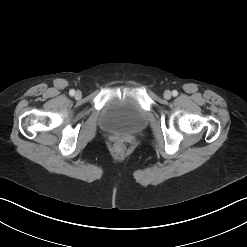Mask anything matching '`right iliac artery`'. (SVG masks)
<instances>
[{"label":"right iliac artery","mask_w":247,"mask_h":247,"mask_svg":"<svg viewBox=\"0 0 247 247\" xmlns=\"http://www.w3.org/2000/svg\"><path fill=\"white\" fill-rule=\"evenodd\" d=\"M69 94H70L71 96H73V95L75 94V91H74L73 89H71V90L69 91Z\"/></svg>","instance_id":"82829eb1"}]
</instances>
